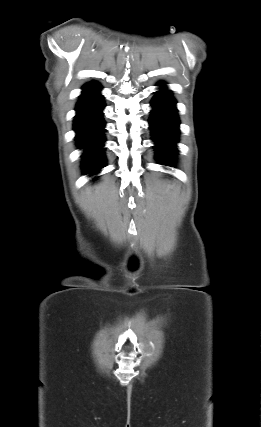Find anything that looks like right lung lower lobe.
Instances as JSON below:
<instances>
[{"label": "right lung lower lobe", "instance_id": "obj_1", "mask_svg": "<svg viewBox=\"0 0 261 427\" xmlns=\"http://www.w3.org/2000/svg\"><path fill=\"white\" fill-rule=\"evenodd\" d=\"M101 86L98 83H88L83 86V92L77 103V114L74 121L76 141L79 147L85 148L83 153V168L85 173H94L105 165L104 125L102 109L105 106Z\"/></svg>", "mask_w": 261, "mask_h": 427}]
</instances>
